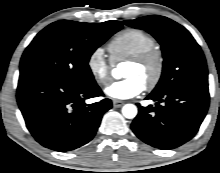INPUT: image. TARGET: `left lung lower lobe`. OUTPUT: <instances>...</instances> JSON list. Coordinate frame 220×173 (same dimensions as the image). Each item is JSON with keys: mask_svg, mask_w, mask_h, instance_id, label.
<instances>
[{"mask_svg": "<svg viewBox=\"0 0 220 173\" xmlns=\"http://www.w3.org/2000/svg\"><path fill=\"white\" fill-rule=\"evenodd\" d=\"M146 99L156 101V107L140 106L131 128L148 145L168 150L197 133L208 110L209 90L182 86L164 93L152 92Z\"/></svg>", "mask_w": 220, "mask_h": 173, "instance_id": "1", "label": "left lung lower lobe"}]
</instances>
